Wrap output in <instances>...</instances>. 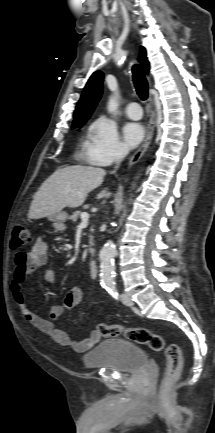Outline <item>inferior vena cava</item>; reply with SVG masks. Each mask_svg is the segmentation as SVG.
Segmentation results:
<instances>
[{"label":"inferior vena cava","instance_id":"1","mask_svg":"<svg viewBox=\"0 0 215 433\" xmlns=\"http://www.w3.org/2000/svg\"><path fill=\"white\" fill-rule=\"evenodd\" d=\"M124 155H125V152H124L123 150H119V151H117V153H116V157H115V160H116V163H117L118 165H119V163L122 161Z\"/></svg>","mask_w":215,"mask_h":433}]
</instances>
